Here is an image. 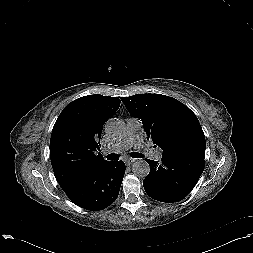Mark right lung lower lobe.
Here are the masks:
<instances>
[{
  "mask_svg": "<svg viewBox=\"0 0 253 253\" xmlns=\"http://www.w3.org/2000/svg\"><path fill=\"white\" fill-rule=\"evenodd\" d=\"M124 174L123 161L107 162L63 190L77 206L91 211L101 210L117 199Z\"/></svg>",
  "mask_w": 253,
  "mask_h": 253,
  "instance_id": "obj_1",
  "label": "right lung lower lobe"
}]
</instances>
